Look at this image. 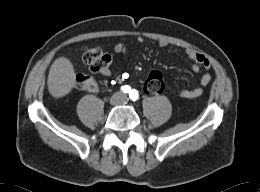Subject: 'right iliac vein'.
<instances>
[{"instance_id":"1","label":"right iliac vein","mask_w":260,"mask_h":192,"mask_svg":"<svg viewBox=\"0 0 260 192\" xmlns=\"http://www.w3.org/2000/svg\"><path fill=\"white\" fill-rule=\"evenodd\" d=\"M117 101H118V96H114V97L111 99V104H116Z\"/></svg>"}]
</instances>
